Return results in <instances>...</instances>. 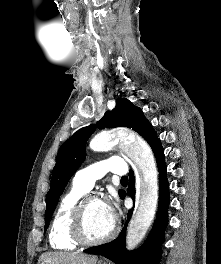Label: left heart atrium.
Instances as JSON below:
<instances>
[{
  "mask_svg": "<svg viewBox=\"0 0 221 264\" xmlns=\"http://www.w3.org/2000/svg\"><path fill=\"white\" fill-rule=\"evenodd\" d=\"M108 213L110 214V216L115 219L116 217V211H117V206L115 203H110V204H105Z\"/></svg>",
  "mask_w": 221,
  "mask_h": 264,
  "instance_id": "left-heart-atrium-1",
  "label": "left heart atrium"
}]
</instances>
